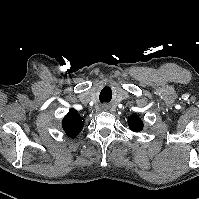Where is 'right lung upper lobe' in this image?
<instances>
[{
	"mask_svg": "<svg viewBox=\"0 0 199 199\" xmlns=\"http://www.w3.org/2000/svg\"><path fill=\"white\" fill-rule=\"evenodd\" d=\"M62 127L68 136L75 137L83 129V118L75 109H71L64 117Z\"/></svg>",
	"mask_w": 199,
	"mask_h": 199,
	"instance_id": "right-lung-upper-lobe-1",
	"label": "right lung upper lobe"
}]
</instances>
